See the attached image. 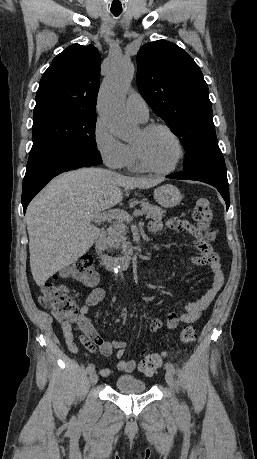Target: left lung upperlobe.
<instances>
[{
  "instance_id": "obj_1",
  "label": "left lung upper lobe",
  "mask_w": 257,
  "mask_h": 459,
  "mask_svg": "<svg viewBox=\"0 0 257 459\" xmlns=\"http://www.w3.org/2000/svg\"><path fill=\"white\" fill-rule=\"evenodd\" d=\"M137 63L138 90L179 137L187 152L184 169L202 167L217 137L199 66L182 48L165 40L143 45Z\"/></svg>"
}]
</instances>
